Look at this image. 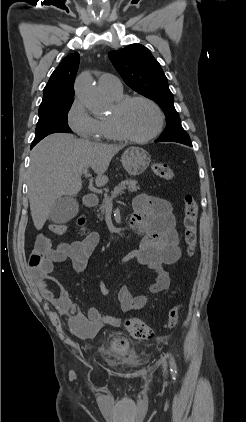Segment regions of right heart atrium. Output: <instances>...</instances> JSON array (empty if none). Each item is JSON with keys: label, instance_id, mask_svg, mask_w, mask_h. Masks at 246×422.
Segmentation results:
<instances>
[{"label": "right heart atrium", "instance_id": "right-heart-atrium-1", "mask_svg": "<svg viewBox=\"0 0 246 422\" xmlns=\"http://www.w3.org/2000/svg\"><path fill=\"white\" fill-rule=\"evenodd\" d=\"M70 128L81 138L97 141L102 138L100 120L93 117L80 99H75L67 114Z\"/></svg>", "mask_w": 246, "mask_h": 422}]
</instances>
